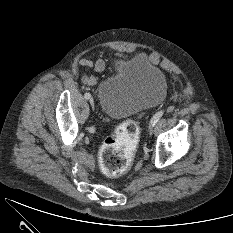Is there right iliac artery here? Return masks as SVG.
I'll use <instances>...</instances> for the list:
<instances>
[{"label":"right iliac artery","mask_w":233,"mask_h":233,"mask_svg":"<svg viewBox=\"0 0 233 233\" xmlns=\"http://www.w3.org/2000/svg\"><path fill=\"white\" fill-rule=\"evenodd\" d=\"M84 97H85V99H90L91 95H90V93H85Z\"/></svg>","instance_id":"82829eb1"}]
</instances>
